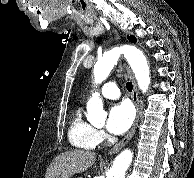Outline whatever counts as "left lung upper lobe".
Instances as JSON below:
<instances>
[{"mask_svg":"<svg viewBox=\"0 0 194 178\" xmlns=\"http://www.w3.org/2000/svg\"><path fill=\"white\" fill-rule=\"evenodd\" d=\"M130 42H136V38L134 36H128L127 37Z\"/></svg>","mask_w":194,"mask_h":178,"instance_id":"1","label":"left lung upper lobe"}]
</instances>
